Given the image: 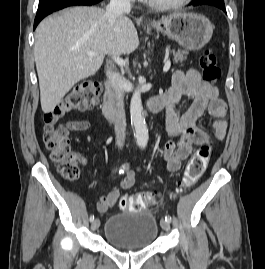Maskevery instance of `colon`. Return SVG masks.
Instances as JSON below:
<instances>
[{
	"label": "colon",
	"mask_w": 265,
	"mask_h": 269,
	"mask_svg": "<svg viewBox=\"0 0 265 269\" xmlns=\"http://www.w3.org/2000/svg\"><path fill=\"white\" fill-rule=\"evenodd\" d=\"M200 68L203 79L215 84L220 80L221 70L217 64L215 55L206 50L200 59ZM100 86L91 81L75 87L63 100L45 115V127L43 140L50 153L51 160L58 166L61 176L67 181H74L80 175L77 159L71 150L68 137V129L58 124L59 120L73 111H86L94 108L99 99ZM211 148L209 145L201 146L190 158L182 179L180 188H191L205 171ZM158 194L156 192L138 193L124 196L120 206L125 211L136 212L147 206L156 204Z\"/></svg>",
	"instance_id": "obj_1"
}]
</instances>
